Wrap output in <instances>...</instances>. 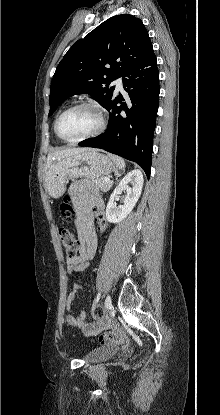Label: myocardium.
<instances>
[{
  "mask_svg": "<svg viewBox=\"0 0 220 415\" xmlns=\"http://www.w3.org/2000/svg\"><path fill=\"white\" fill-rule=\"evenodd\" d=\"M78 108L93 109L98 115L99 125H98V127L95 131H93L92 133H90L88 135H85V136L77 138V139H71V140L66 139V138L62 137L61 134L59 133V129H58L59 122H60L61 118L66 113H68V112H70L74 109H78ZM106 126H107V121H106V117H105V114H104V111H103L102 107L97 102H94V101H81V102H78V103L68 107L67 109H65L63 112H61L59 114V116L56 118L55 123H54V131H55L56 135L58 136V138H60L62 141L74 144V143H79V142H82V141H85V140H88V139H92V138H95V137L101 135L105 131Z\"/></svg>",
  "mask_w": 220,
  "mask_h": 415,
  "instance_id": "obj_1",
  "label": "myocardium"
}]
</instances>
